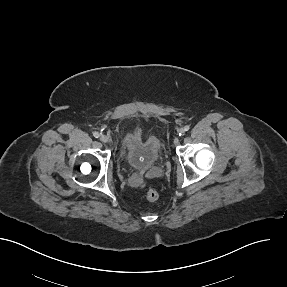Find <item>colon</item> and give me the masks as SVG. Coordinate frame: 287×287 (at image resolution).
Listing matches in <instances>:
<instances>
[{
    "label": "colon",
    "instance_id": "1",
    "mask_svg": "<svg viewBox=\"0 0 287 287\" xmlns=\"http://www.w3.org/2000/svg\"><path fill=\"white\" fill-rule=\"evenodd\" d=\"M145 197L148 201L153 202V201H156L158 199L159 194L155 189L149 188L145 192Z\"/></svg>",
    "mask_w": 287,
    "mask_h": 287
}]
</instances>
